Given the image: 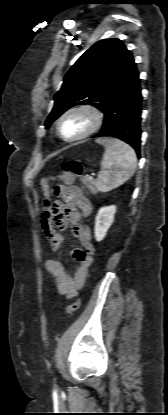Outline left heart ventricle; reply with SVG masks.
Wrapping results in <instances>:
<instances>
[{
  "label": "left heart ventricle",
  "mask_w": 168,
  "mask_h": 415,
  "mask_svg": "<svg viewBox=\"0 0 168 415\" xmlns=\"http://www.w3.org/2000/svg\"><path fill=\"white\" fill-rule=\"evenodd\" d=\"M90 126V118L83 112H75L66 116L61 123V132L67 138L82 134Z\"/></svg>",
  "instance_id": "b2bd125f"
}]
</instances>
